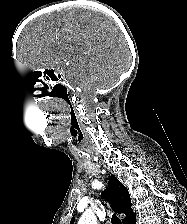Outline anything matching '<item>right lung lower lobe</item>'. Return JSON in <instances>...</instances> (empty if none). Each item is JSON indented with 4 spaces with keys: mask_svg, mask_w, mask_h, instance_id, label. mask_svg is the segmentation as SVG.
Masks as SVG:
<instances>
[{
    "mask_svg": "<svg viewBox=\"0 0 187 224\" xmlns=\"http://www.w3.org/2000/svg\"><path fill=\"white\" fill-rule=\"evenodd\" d=\"M129 224H136V217L132 221H130Z\"/></svg>",
    "mask_w": 187,
    "mask_h": 224,
    "instance_id": "1",
    "label": "right lung lower lobe"
}]
</instances>
